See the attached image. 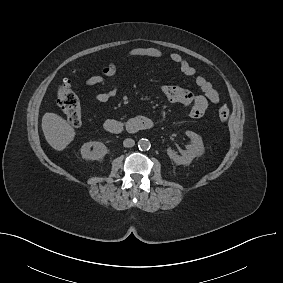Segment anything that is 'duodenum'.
I'll return each mask as SVG.
<instances>
[{
    "label": "duodenum",
    "instance_id": "duodenum-1",
    "mask_svg": "<svg viewBox=\"0 0 283 283\" xmlns=\"http://www.w3.org/2000/svg\"><path fill=\"white\" fill-rule=\"evenodd\" d=\"M152 127V120L145 116L130 117L125 121L110 118L104 122V129L111 134H120L124 130L130 133H137L149 130Z\"/></svg>",
    "mask_w": 283,
    "mask_h": 283
}]
</instances>
